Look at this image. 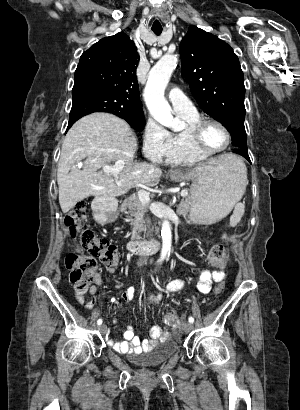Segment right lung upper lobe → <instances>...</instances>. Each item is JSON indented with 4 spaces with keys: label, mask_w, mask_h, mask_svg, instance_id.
<instances>
[{
    "label": "right lung upper lobe",
    "mask_w": 300,
    "mask_h": 410,
    "mask_svg": "<svg viewBox=\"0 0 300 410\" xmlns=\"http://www.w3.org/2000/svg\"><path fill=\"white\" fill-rule=\"evenodd\" d=\"M139 60L137 48L126 34L103 38L80 57L74 85L90 84L112 93L124 116L143 114L136 78Z\"/></svg>",
    "instance_id": "1"
}]
</instances>
